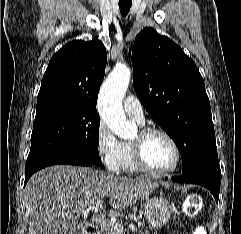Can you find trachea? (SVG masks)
<instances>
[{
	"label": "trachea",
	"mask_w": 241,
	"mask_h": 234,
	"mask_svg": "<svg viewBox=\"0 0 241 234\" xmlns=\"http://www.w3.org/2000/svg\"><path fill=\"white\" fill-rule=\"evenodd\" d=\"M132 0H119V6L121 9V14L126 16L130 10Z\"/></svg>",
	"instance_id": "trachea-1"
}]
</instances>
